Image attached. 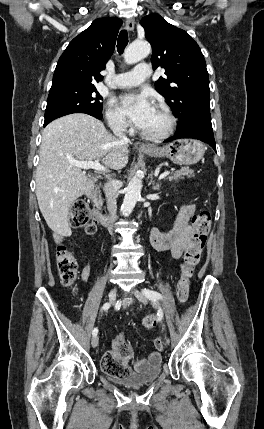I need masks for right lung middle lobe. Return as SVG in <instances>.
<instances>
[{
	"mask_svg": "<svg viewBox=\"0 0 264 429\" xmlns=\"http://www.w3.org/2000/svg\"><path fill=\"white\" fill-rule=\"evenodd\" d=\"M102 99L94 85H69L51 89L44 123L72 113H86L101 119Z\"/></svg>",
	"mask_w": 264,
	"mask_h": 429,
	"instance_id": "right-lung-middle-lobe-1",
	"label": "right lung middle lobe"
}]
</instances>
